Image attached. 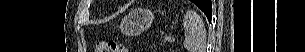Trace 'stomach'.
Returning a JSON list of instances; mask_svg holds the SVG:
<instances>
[{
	"mask_svg": "<svg viewBox=\"0 0 305 52\" xmlns=\"http://www.w3.org/2000/svg\"><path fill=\"white\" fill-rule=\"evenodd\" d=\"M153 19L150 10L138 8L123 18L120 28L127 35H138L151 26Z\"/></svg>",
	"mask_w": 305,
	"mask_h": 52,
	"instance_id": "obj_1",
	"label": "stomach"
}]
</instances>
